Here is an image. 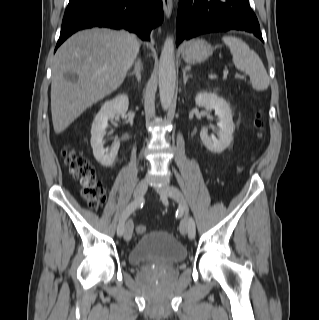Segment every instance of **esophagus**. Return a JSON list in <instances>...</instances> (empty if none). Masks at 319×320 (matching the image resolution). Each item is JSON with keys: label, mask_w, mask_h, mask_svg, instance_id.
<instances>
[{"label": "esophagus", "mask_w": 319, "mask_h": 320, "mask_svg": "<svg viewBox=\"0 0 319 320\" xmlns=\"http://www.w3.org/2000/svg\"><path fill=\"white\" fill-rule=\"evenodd\" d=\"M163 1V8L166 17H170L173 9V2L172 0H162Z\"/></svg>", "instance_id": "obj_1"}]
</instances>
